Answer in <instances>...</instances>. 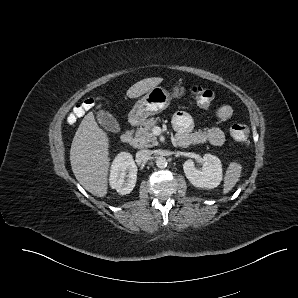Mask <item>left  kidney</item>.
<instances>
[{"instance_id": "left-kidney-1", "label": "left kidney", "mask_w": 298, "mask_h": 298, "mask_svg": "<svg viewBox=\"0 0 298 298\" xmlns=\"http://www.w3.org/2000/svg\"><path fill=\"white\" fill-rule=\"evenodd\" d=\"M202 168L195 167L191 160L185 161L184 173L191 184L198 188H215L221 184L224 171L221 159L216 155L206 153L203 155Z\"/></svg>"}]
</instances>
